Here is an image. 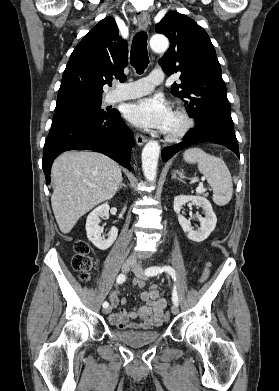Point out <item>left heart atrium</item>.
Segmentation results:
<instances>
[{"mask_svg":"<svg viewBox=\"0 0 279 391\" xmlns=\"http://www.w3.org/2000/svg\"><path fill=\"white\" fill-rule=\"evenodd\" d=\"M124 114L139 127L166 131L172 112L162 97H146L130 103Z\"/></svg>","mask_w":279,"mask_h":391,"instance_id":"39dd6f15","label":"left heart atrium"}]
</instances>
